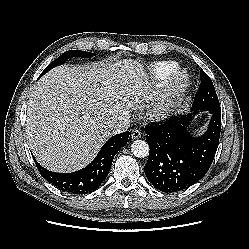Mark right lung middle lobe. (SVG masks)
<instances>
[{
  "mask_svg": "<svg viewBox=\"0 0 249 249\" xmlns=\"http://www.w3.org/2000/svg\"><path fill=\"white\" fill-rule=\"evenodd\" d=\"M92 56H95V53L80 51V50H70L67 52H64L61 56H59L55 61L50 63L42 72L41 76L45 74L50 69L62 65L65 61H67L69 58L72 57H82V58H91Z\"/></svg>",
  "mask_w": 249,
  "mask_h": 249,
  "instance_id": "obj_1",
  "label": "right lung middle lobe"
}]
</instances>
